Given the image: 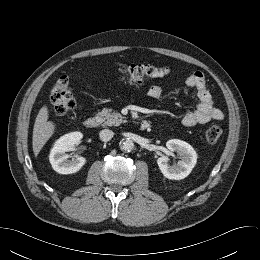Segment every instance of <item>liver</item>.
I'll list each match as a JSON object with an SVG mask.
<instances>
[{
	"instance_id": "1",
	"label": "liver",
	"mask_w": 260,
	"mask_h": 260,
	"mask_svg": "<svg viewBox=\"0 0 260 260\" xmlns=\"http://www.w3.org/2000/svg\"><path fill=\"white\" fill-rule=\"evenodd\" d=\"M48 116V108L44 105L39 110L33 127L32 147L35 156L39 154L55 130V125L53 122L48 121Z\"/></svg>"
}]
</instances>
